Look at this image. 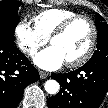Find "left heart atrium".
Masks as SVG:
<instances>
[{
  "mask_svg": "<svg viewBox=\"0 0 108 108\" xmlns=\"http://www.w3.org/2000/svg\"><path fill=\"white\" fill-rule=\"evenodd\" d=\"M34 63L42 69L55 70L65 63V59L55 46H50L36 55Z\"/></svg>",
  "mask_w": 108,
  "mask_h": 108,
  "instance_id": "left-heart-atrium-1",
  "label": "left heart atrium"
}]
</instances>
